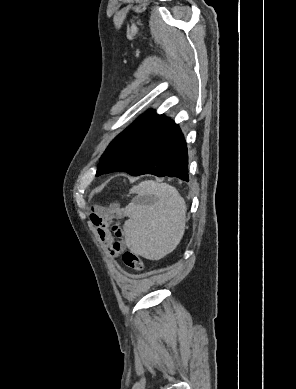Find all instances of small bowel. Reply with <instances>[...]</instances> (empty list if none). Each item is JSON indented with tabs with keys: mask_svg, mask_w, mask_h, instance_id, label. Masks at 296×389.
<instances>
[{
	"mask_svg": "<svg viewBox=\"0 0 296 389\" xmlns=\"http://www.w3.org/2000/svg\"><path fill=\"white\" fill-rule=\"evenodd\" d=\"M125 216V212L117 206L96 207L91 214V222L112 257H118L126 247L122 226Z\"/></svg>",
	"mask_w": 296,
	"mask_h": 389,
	"instance_id": "small-bowel-1",
	"label": "small bowel"
}]
</instances>
